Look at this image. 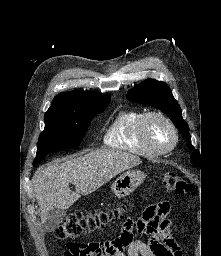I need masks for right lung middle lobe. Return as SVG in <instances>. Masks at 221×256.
Masks as SVG:
<instances>
[{
  "label": "right lung middle lobe",
  "mask_w": 221,
  "mask_h": 256,
  "mask_svg": "<svg viewBox=\"0 0 221 256\" xmlns=\"http://www.w3.org/2000/svg\"><path fill=\"white\" fill-rule=\"evenodd\" d=\"M110 101L111 98H98L80 105L74 112L46 113L33 165L49 152L79 146L93 117L104 111Z\"/></svg>",
  "instance_id": "obj_1"
}]
</instances>
